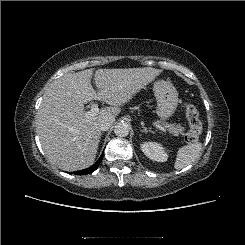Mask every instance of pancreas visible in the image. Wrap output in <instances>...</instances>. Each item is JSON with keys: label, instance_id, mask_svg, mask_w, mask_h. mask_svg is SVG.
<instances>
[{"label": "pancreas", "instance_id": "cf45deb5", "mask_svg": "<svg viewBox=\"0 0 245 245\" xmlns=\"http://www.w3.org/2000/svg\"><path fill=\"white\" fill-rule=\"evenodd\" d=\"M164 127L173 135V136H179V135H184V127H182L180 124H169V123H164Z\"/></svg>", "mask_w": 245, "mask_h": 245}]
</instances>
